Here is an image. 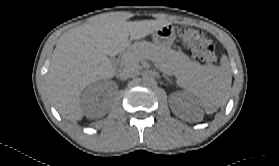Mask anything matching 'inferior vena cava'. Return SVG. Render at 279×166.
Here are the masks:
<instances>
[{"instance_id":"1","label":"inferior vena cava","mask_w":279,"mask_h":166,"mask_svg":"<svg viewBox=\"0 0 279 166\" xmlns=\"http://www.w3.org/2000/svg\"><path fill=\"white\" fill-rule=\"evenodd\" d=\"M135 74H136V70L135 69L124 67L123 69H121L119 71L118 77L121 80H126L128 78H131V77L135 76Z\"/></svg>"}]
</instances>
